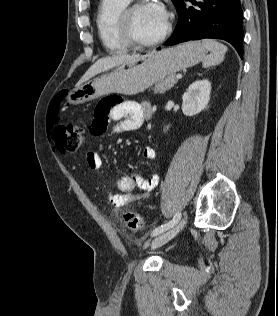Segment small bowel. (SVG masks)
<instances>
[{"label": "small bowel", "instance_id": "1", "mask_svg": "<svg viewBox=\"0 0 278 316\" xmlns=\"http://www.w3.org/2000/svg\"><path fill=\"white\" fill-rule=\"evenodd\" d=\"M149 111L150 105L148 103L124 100L115 96L103 98L95 109L90 132L93 135H100L104 131L108 118L117 122L116 130L119 132L137 130L142 126ZM142 156L144 159L151 161L155 159L156 152L152 147L147 146L143 149ZM85 160L91 170L102 173V159L98 151L88 150L85 154ZM158 182L157 174L143 178L136 173H132L120 178L118 180L120 192L108 195V201L114 208L113 220L117 219L119 210L123 206L135 200L146 199ZM135 187L140 189V194L134 192Z\"/></svg>", "mask_w": 278, "mask_h": 316}]
</instances>
